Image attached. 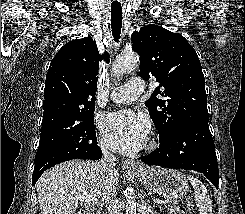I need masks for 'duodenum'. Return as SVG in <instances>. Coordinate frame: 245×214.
<instances>
[{"label":"duodenum","instance_id":"obj_1","mask_svg":"<svg viewBox=\"0 0 245 214\" xmlns=\"http://www.w3.org/2000/svg\"><path fill=\"white\" fill-rule=\"evenodd\" d=\"M99 206L97 204L91 205L86 214H99Z\"/></svg>","mask_w":245,"mask_h":214}]
</instances>
